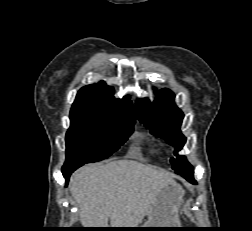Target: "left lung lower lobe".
<instances>
[{
  "instance_id": "1",
  "label": "left lung lower lobe",
  "mask_w": 252,
  "mask_h": 231,
  "mask_svg": "<svg viewBox=\"0 0 252 231\" xmlns=\"http://www.w3.org/2000/svg\"><path fill=\"white\" fill-rule=\"evenodd\" d=\"M184 178H186L188 181L196 183V181L193 178V171L189 173H183L181 174Z\"/></svg>"
}]
</instances>
